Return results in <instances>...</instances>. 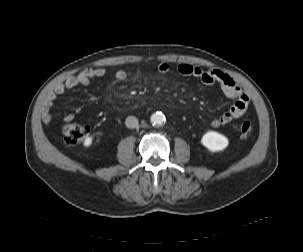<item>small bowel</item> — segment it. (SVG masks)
<instances>
[{
  "mask_svg": "<svg viewBox=\"0 0 303 252\" xmlns=\"http://www.w3.org/2000/svg\"><path fill=\"white\" fill-rule=\"evenodd\" d=\"M171 70L167 62H160L158 71L162 74H167ZM177 73L183 77H194L199 79L202 84L211 86L218 84L225 96L235 99V103L220 116H208V125L212 128L222 127L233 119L244 114L248 108L249 97L246 92L227 74L219 70L203 69L198 66L180 62L177 65ZM139 70H117L112 73L116 81H123L130 77L139 76ZM106 70L103 68H90L83 70L65 81L58 82L48 95L42 112V122L45 126H50L53 123L52 107L57 97L65 91L72 89L77 85H88L95 81H101L106 77ZM73 114L68 113L63 116V121L67 122L73 119Z\"/></svg>",
  "mask_w": 303,
  "mask_h": 252,
  "instance_id": "c3829d8e",
  "label": "small bowel"
}]
</instances>
